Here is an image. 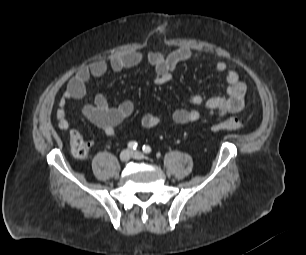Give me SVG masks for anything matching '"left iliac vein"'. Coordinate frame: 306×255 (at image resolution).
Returning <instances> with one entry per match:
<instances>
[{
  "mask_svg": "<svg viewBox=\"0 0 306 255\" xmlns=\"http://www.w3.org/2000/svg\"><path fill=\"white\" fill-rule=\"evenodd\" d=\"M131 156L132 158L137 159V160L144 159V155L140 151H132Z\"/></svg>",
  "mask_w": 306,
  "mask_h": 255,
  "instance_id": "obj_1",
  "label": "left iliac vein"
}]
</instances>
